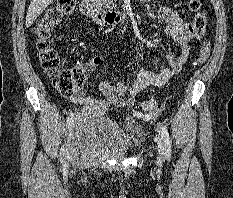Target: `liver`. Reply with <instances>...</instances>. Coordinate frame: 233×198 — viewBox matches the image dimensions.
<instances>
[{"label":"liver","instance_id":"1","mask_svg":"<svg viewBox=\"0 0 233 198\" xmlns=\"http://www.w3.org/2000/svg\"><path fill=\"white\" fill-rule=\"evenodd\" d=\"M55 0H31L26 14V27L29 28L37 17Z\"/></svg>","mask_w":233,"mask_h":198}]
</instances>
